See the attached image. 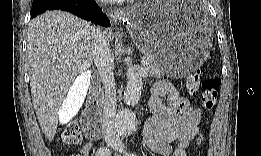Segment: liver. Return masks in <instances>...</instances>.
<instances>
[{"label":"liver","mask_w":261,"mask_h":156,"mask_svg":"<svg viewBox=\"0 0 261 156\" xmlns=\"http://www.w3.org/2000/svg\"><path fill=\"white\" fill-rule=\"evenodd\" d=\"M97 28L68 12L54 10L34 18L27 32V66L32 102L46 139L53 140L58 123L78 111L75 101L66 113L69 92L77 76L93 64V34ZM113 40L111 31H106Z\"/></svg>","instance_id":"6515ba94"}]
</instances>
